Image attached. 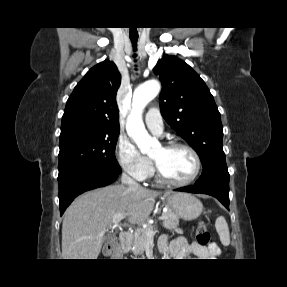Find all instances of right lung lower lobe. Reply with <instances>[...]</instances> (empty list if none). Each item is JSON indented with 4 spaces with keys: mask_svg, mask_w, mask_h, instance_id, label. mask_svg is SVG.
<instances>
[{
    "mask_svg": "<svg viewBox=\"0 0 287 287\" xmlns=\"http://www.w3.org/2000/svg\"><path fill=\"white\" fill-rule=\"evenodd\" d=\"M120 173L94 168H76L58 175L59 207L61 215L81 193L114 182Z\"/></svg>",
    "mask_w": 287,
    "mask_h": 287,
    "instance_id": "right-lung-lower-lobe-1",
    "label": "right lung lower lobe"
}]
</instances>
